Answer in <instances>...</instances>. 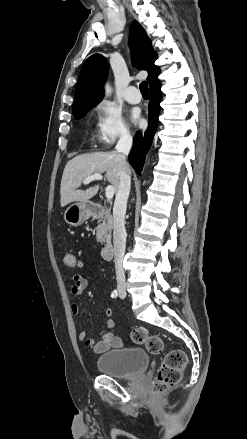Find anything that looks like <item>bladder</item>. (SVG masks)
<instances>
[{
    "instance_id": "obj_1",
    "label": "bladder",
    "mask_w": 247,
    "mask_h": 439,
    "mask_svg": "<svg viewBox=\"0 0 247 439\" xmlns=\"http://www.w3.org/2000/svg\"><path fill=\"white\" fill-rule=\"evenodd\" d=\"M148 354L140 348H120L107 351L96 362L98 370L118 379H134L149 365Z\"/></svg>"
}]
</instances>
